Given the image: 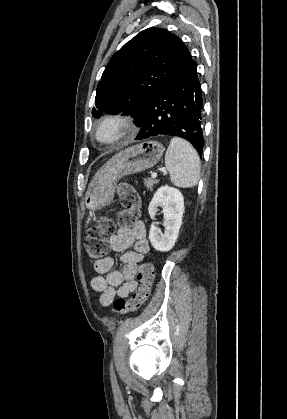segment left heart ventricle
I'll return each mask as SVG.
<instances>
[{
    "label": "left heart ventricle",
    "instance_id": "b2bd125f",
    "mask_svg": "<svg viewBox=\"0 0 287 419\" xmlns=\"http://www.w3.org/2000/svg\"><path fill=\"white\" fill-rule=\"evenodd\" d=\"M119 134L120 130L113 126H105L98 132V136L102 141H109Z\"/></svg>",
    "mask_w": 287,
    "mask_h": 419
}]
</instances>
